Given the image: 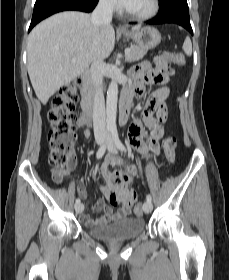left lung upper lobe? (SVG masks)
Listing matches in <instances>:
<instances>
[{
	"instance_id": "obj_1",
	"label": "left lung upper lobe",
	"mask_w": 229,
	"mask_h": 280,
	"mask_svg": "<svg viewBox=\"0 0 229 280\" xmlns=\"http://www.w3.org/2000/svg\"><path fill=\"white\" fill-rule=\"evenodd\" d=\"M160 1H161V3H162V2H165L166 0H160Z\"/></svg>"
}]
</instances>
